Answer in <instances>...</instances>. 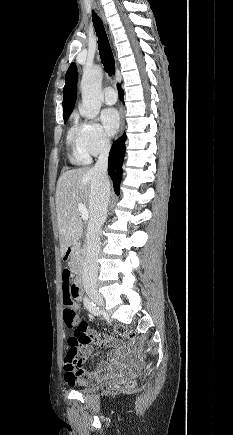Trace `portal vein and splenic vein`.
Instances as JSON below:
<instances>
[{
	"label": "portal vein and splenic vein",
	"instance_id": "18ae733b",
	"mask_svg": "<svg viewBox=\"0 0 233 435\" xmlns=\"http://www.w3.org/2000/svg\"><path fill=\"white\" fill-rule=\"evenodd\" d=\"M78 209H79V212L81 213L82 219L85 221L88 220L89 212H88L87 208L85 207V205L83 203H79Z\"/></svg>",
	"mask_w": 233,
	"mask_h": 435
}]
</instances>
